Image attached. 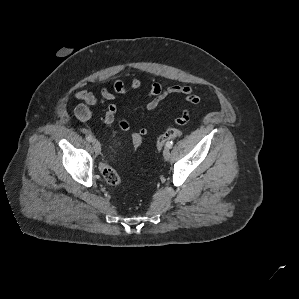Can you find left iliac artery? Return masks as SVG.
<instances>
[{"label":"left iliac artery","instance_id":"left-iliac-artery-1","mask_svg":"<svg viewBox=\"0 0 299 299\" xmlns=\"http://www.w3.org/2000/svg\"><path fill=\"white\" fill-rule=\"evenodd\" d=\"M172 146H173V142L172 141H169V142L166 143V147L167 148H172Z\"/></svg>","mask_w":299,"mask_h":299}]
</instances>
